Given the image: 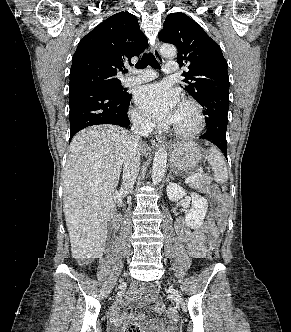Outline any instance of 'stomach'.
Returning <instances> with one entry per match:
<instances>
[{
  "instance_id": "0dacf381",
  "label": "stomach",
  "mask_w": 291,
  "mask_h": 332,
  "mask_svg": "<svg viewBox=\"0 0 291 332\" xmlns=\"http://www.w3.org/2000/svg\"><path fill=\"white\" fill-rule=\"evenodd\" d=\"M202 159L200 147L192 141H180L171 147L170 162L177 170H191L197 167Z\"/></svg>"
}]
</instances>
